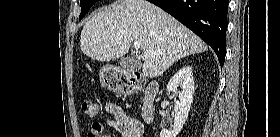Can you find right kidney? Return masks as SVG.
Returning a JSON list of instances; mask_svg holds the SVG:
<instances>
[{
  "mask_svg": "<svg viewBox=\"0 0 280 137\" xmlns=\"http://www.w3.org/2000/svg\"><path fill=\"white\" fill-rule=\"evenodd\" d=\"M178 87L181 91L178 92ZM167 91L178 93L179 100L174 106V127L171 131L163 129L160 137H176L185 124L190 111L194 94V79L192 67L184 66L170 79Z\"/></svg>",
  "mask_w": 280,
  "mask_h": 137,
  "instance_id": "right-kidney-1",
  "label": "right kidney"
}]
</instances>
